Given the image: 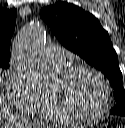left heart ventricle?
Wrapping results in <instances>:
<instances>
[{
    "label": "left heart ventricle",
    "mask_w": 125,
    "mask_h": 128,
    "mask_svg": "<svg viewBox=\"0 0 125 128\" xmlns=\"http://www.w3.org/2000/svg\"><path fill=\"white\" fill-rule=\"evenodd\" d=\"M52 92L59 93L71 109L82 114L98 112L105 102L101 81L88 71L78 72L65 84L57 79Z\"/></svg>",
    "instance_id": "b2bd125f"
}]
</instances>
